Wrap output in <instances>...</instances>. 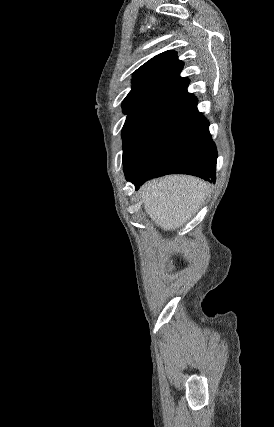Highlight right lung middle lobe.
I'll return each instance as SVG.
<instances>
[{"instance_id": "dd1d6c3e", "label": "right lung middle lobe", "mask_w": 274, "mask_h": 427, "mask_svg": "<svg viewBox=\"0 0 274 427\" xmlns=\"http://www.w3.org/2000/svg\"><path fill=\"white\" fill-rule=\"evenodd\" d=\"M174 108L158 100L123 107L127 119L122 130L123 165L133 167Z\"/></svg>"}]
</instances>
